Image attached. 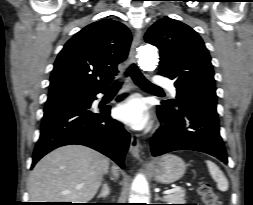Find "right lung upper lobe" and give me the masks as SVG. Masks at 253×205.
Listing matches in <instances>:
<instances>
[{"instance_id":"right-lung-upper-lobe-1","label":"right lung upper lobe","mask_w":253,"mask_h":205,"mask_svg":"<svg viewBox=\"0 0 253 205\" xmlns=\"http://www.w3.org/2000/svg\"><path fill=\"white\" fill-rule=\"evenodd\" d=\"M131 34L114 20L94 22L75 34L59 53L47 102L87 97L108 88L128 55Z\"/></svg>"}]
</instances>
